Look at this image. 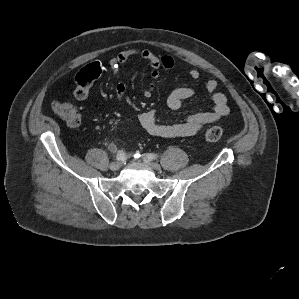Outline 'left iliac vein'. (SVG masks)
I'll list each match as a JSON object with an SVG mask.
<instances>
[{"mask_svg": "<svg viewBox=\"0 0 299 299\" xmlns=\"http://www.w3.org/2000/svg\"><path fill=\"white\" fill-rule=\"evenodd\" d=\"M144 163L151 166L155 170H160V168H161L160 164H158L156 162H151V160H149L147 158H144Z\"/></svg>", "mask_w": 299, "mask_h": 299, "instance_id": "left-iliac-vein-1", "label": "left iliac vein"}]
</instances>
